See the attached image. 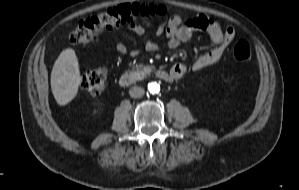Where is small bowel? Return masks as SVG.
Returning <instances> with one entry per match:
<instances>
[{
  "label": "small bowel",
  "instance_id": "obj_1",
  "mask_svg": "<svg viewBox=\"0 0 299 190\" xmlns=\"http://www.w3.org/2000/svg\"><path fill=\"white\" fill-rule=\"evenodd\" d=\"M146 25H149L150 22L149 21H145L144 22ZM205 24L208 28H213V23L211 20L206 19ZM182 30V26L178 23H171L170 25H168V31L171 33H178ZM212 37H213V41L216 45H218L222 50L225 47V42L223 39L222 34L218 31V30H213L212 32ZM174 44H177V41L175 40L173 42ZM217 59V57H212V61H215ZM187 72V68L184 65H179L176 67L175 69V73L177 75H183Z\"/></svg>",
  "mask_w": 299,
  "mask_h": 190
}]
</instances>
